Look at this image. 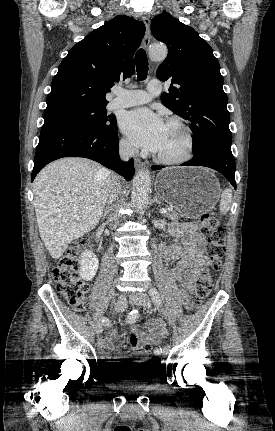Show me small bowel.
<instances>
[{"instance_id":"small-bowel-1","label":"small bowel","mask_w":275,"mask_h":431,"mask_svg":"<svg viewBox=\"0 0 275 431\" xmlns=\"http://www.w3.org/2000/svg\"><path fill=\"white\" fill-rule=\"evenodd\" d=\"M170 233L172 236L180 238L181 242L171 245L162 244L160 253L166 260H178L171 271V276L182 283V288L178 292L179 298L185 308H190L194 283L204 266L208 264V259L204 254L205 237L198 231L194 223L172 224ZM145 329L146 333L139 332V354L141 355L146 353L144 351L146 344L150 346L157 344L166 335L164 325L158 320L147 322ZM117 340L118 332L116 328L104 334L98 341L100 353L106 355L109 352L116 351L115 343Z\"/></svg>"}]
</instances>
